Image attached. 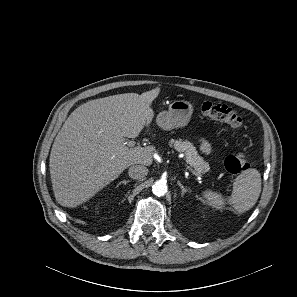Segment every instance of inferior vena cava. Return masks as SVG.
<instances>
[{"mask_svg": "<svg viewBox=\"0 0 297 297\" xmlns=\"http://www.w3.org/2000/svg\"><path fill=\"white\" fill-rule=\"evenodd\" d=\"M129 177L132 179H142L148 174V169L142 165H133L128 170Z\"/></svg>", "mask_w": 297, "mask_h": 297, "instance_id": "1", "label": "inferior vena cava"}]
</instances>
